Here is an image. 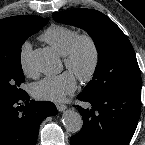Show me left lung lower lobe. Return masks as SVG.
Masks as SVG:
<instances>
[{
	"label": "left lung lower lobe",
	"instance_id": "0a47b994",
	"mask_svg": "<svg viewBox=\"0 0 145 145\" xmlns=\"http://www.w3.org/2000/svg\"><path fill=\"white\" fill-rule=\"evenodd\" d=\"M78 100L91 109L77 106L83 126L71 137V145H128L136 130L141 111V88L113 91L104 95L81 92Z\"/></svg>",
	"mask_w": 145,
	"mask_h": 145
}]
</instances>
